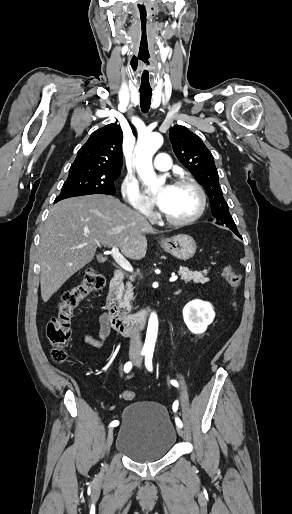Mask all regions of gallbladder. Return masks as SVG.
Returning a JSON list of instances; mask_svg holds the SVG:
<instances>
[{"instance_id": "bac80fb5", "label": "gallbladder", "mask_w": 292, "mask_h": 514, "mask_svg": "<svg viewBox=\"0 0 292 514\" xmlns=\"http://www.w3.org/2000/svg\"><path fill=\"white\" fill-rule=\"evenodd\" d=\"M97 260H98V262H102L103 256H97Z\"/></svg>"}]
</instances>
